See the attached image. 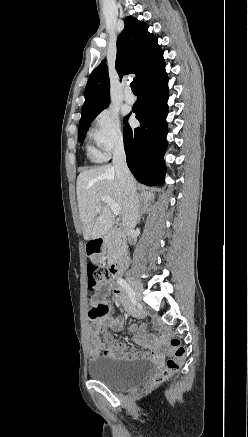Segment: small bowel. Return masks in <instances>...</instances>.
<instances>
[{"label": "small bowel", "instance_id": "small-bowel-1", "mask_svg": "<svg viewBox=\"0 0 248 437\" xmlns=\"http://www.w3.org/2000/svg\"><path fill=\"white\" fill-rule=\"evenodd\" d=\"M107 294H113L114 300L129 313L136 317H142L144 314L137 311L132 306L128 296L122 287L115 285L112 281H108L105 285H100L99 292L94 296L93 303L101 305H88L86 312L92 322V330L90 333L91 350L90 356L92 359L104 354L107 357L117 359H130L136 355L148 356L156 352L157 343L153 336L148 334L144 328L132 326L131 330L135 332L136 344L144 347L147 351L140 354L134 346L124 345L116 342L107 326L114 330H120L123 325L121 319L111 320L108 317L109 304L106 300Z\"/></svg>", "mask_w": 248, "mask_h": 437}]
</instances>
